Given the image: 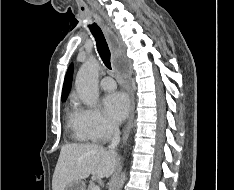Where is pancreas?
<instances>
[{
	"label": "pancreas",
	"instance_id": "cf45deb5",
	"mask_svg": "<svg viewBox=\"0 0 234 190\" xmlns=\"http://www.w3.org/2000/svg\"><path fill=\"white\" fill-rule=\"evenodd\" d=\"M93 186H95V184L92 181H90L87 190H92Z\"/></svg>",
	"mask_w": 234,
	"mask_h": 190
}]
</instances>
